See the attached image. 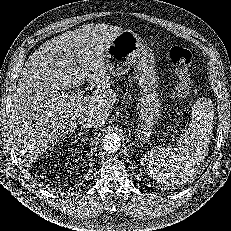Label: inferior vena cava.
Returning a JSON list of instances; mask_svg holds the SVG:
<instances>
[{"instance_id":"602c4592","label":"inferior vena cava","mask_w":231,"mask_h":231,"mask_svg":"<svg viewBox=\"0 0 231 231\" xmlns=\"http://www.w3.org/2000/svg\"><path fill=\"white\" fill-rule=\"evenodd\" d=\"M79 124L81 125L82 128H92L95 127L96 125V120L93 116L91 115H83L80 118Z\"/></svg>"}]
</instances>
